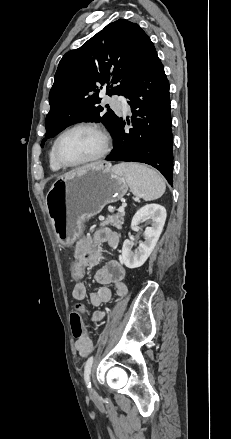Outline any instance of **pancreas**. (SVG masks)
<instances>
[{"mask_svg":"<svg viewBox=\"0 0 231 439\" xmlns=\"http://www.w3.org/2000/svg\"><path fill=\"white\" fill-rule=\"evenodd\" d=\"M125 213H117L113 215H108L104 220L101 221L100 225H110L116 228H121L124 223Z\"/></svg>","mask_w":231,"mask_h":439,"instance_id":"1","label":"pancreas"}]
</instances>
